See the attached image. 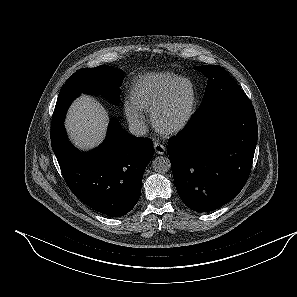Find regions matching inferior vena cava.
Masks as SVG:
<instances>
[{
  "label": "inferior vena cava",
  "instance_id": "1",
  "mask_svg": "<svg viewBox=\"0 0 297 297\" xmlns=\"http://www.w3.org/2000/svg\"><path fill=\"white\" fill-rule=\"evenodd\" d=\"M129 131L134 136H143L146 134V125L140 120H134L129 123Z\"/></svg>",
  "mask_w": 297,
  "mask_h": 297
}]
</instances>
